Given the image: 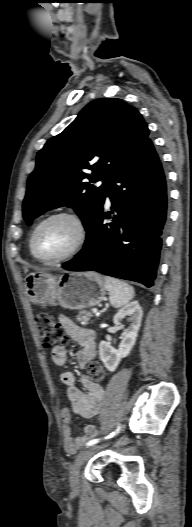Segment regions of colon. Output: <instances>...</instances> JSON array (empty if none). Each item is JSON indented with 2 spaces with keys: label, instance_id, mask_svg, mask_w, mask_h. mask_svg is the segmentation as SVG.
<instances>
[{
  "label": "colon",
  "instance_id": "obj_1",
  "mask_svg": "<svg viewBox=\"0 0 192 527\" xmlns=\"http://www.w3.org/2000/svg\"><path fill=\"white\" fill-rule=\"evenodd\" d=\"M35 322L44 347L53 348L66 342L67 336L64 328L48 314L36 315ZM88 379L95 384H101L105 380V372L101 365L96 362L89 365Z\"/></svg>",
  "mask_w": 192,
  "mask_h": 527
}]
</instances>
